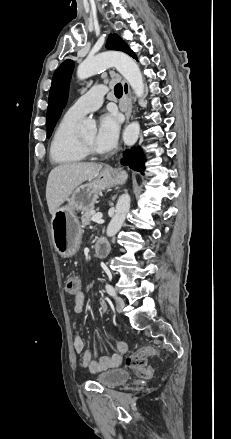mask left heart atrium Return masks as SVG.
Returning <instances> with one entry per match:
<instances>
[{"label": "left heart atrium", "mask_w": 231, "mask_h": 439, "mask_svg": "<svg viewBox=\"0 0 231 439\" xmlns=\"http://www.w3.org/2000/svg\"><path fill=\"white\" fill-rule=\"evenodd\" d=\"M119 134V121L115 114L107 113L100 117L95 137V147L100 152L114 148Z\"/></svg>", "instance_id": "left-heart-atrium-1"}]
</instances>
